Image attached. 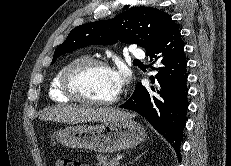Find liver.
I'll list each match as a JSON object with an SVG mask.
<instances>
[{"mask_svg":"<svg viewBox=\"0 0 231 166\" xmlns=\"http://www.w3.org/2000/svg\"><path fill=\"white\" fill-rule=\"evenodd\" d=\"M132 114L115 108L89 107L85 105H56L46 108L39 116L40 120L77 124L83 122H112Z\"/></svg>","mask_w":231,"mask_h":166,"instance_id":"1","label":"liver"}]
</instances>
